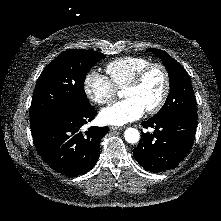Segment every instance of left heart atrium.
<instances>
[{
  "mask_svg": "<svg viewBox=\"0 0 221 221\" xmlns=\"http://www.w3.org/2000/svg\"><path fill=\"white\" fill-rule=\"evenodd\" d=\"M145 109L134 98L118 101L100 112V120L108 125H124L139 119Z\"/></svg>",
  "mask_w": 221,
  "mask_h": 221,
  "instance_id": "obj_1",
  "label": "left heart atrium"
}]
</instances>
